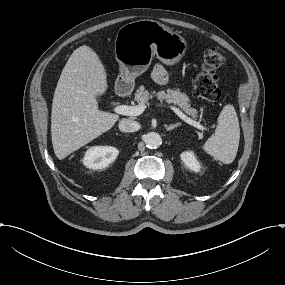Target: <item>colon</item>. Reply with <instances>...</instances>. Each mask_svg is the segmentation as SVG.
<instances>
[{"instance_id": "colon-1", "label": "colon", "mask_w": 285, "mask_h": 285, "mask_svg": "<svg viewBox=\"0 0 285 285\" xmlns=\"http://www.w3.org/2000/svg\"><path fill=\"white\" fill-rule=\"evenodd\" d=\"M226 57L215 48L204 51L199 72L193 81L194 95L208 102H216L221 97L216 70L224 65Z\"/></svg>"}]
</instances>
